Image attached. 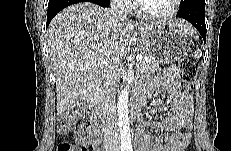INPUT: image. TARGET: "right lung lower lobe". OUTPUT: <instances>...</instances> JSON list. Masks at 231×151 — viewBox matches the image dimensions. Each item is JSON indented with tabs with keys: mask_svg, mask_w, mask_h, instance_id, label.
<instances>
[{
	"mask_svg": "<svg viewBox=\"0 0 231 151\" xmlns=\"http://www.w3.org/2000/svg\"><path fill=\"white\" fill-rule=\"evenodd\" d=\"M89 2L98 4L102 7H109V0H88ZM83 2V0H49L48 3V14H47V26L53 19V17L61 11L63 8L78 3Z\"/></svg>",
	"mask_w": 231,
	"mask_h": 151,
	"instance_id": "98d812e1",
	"label": "right lung lower lobe"
}]
</instances>
